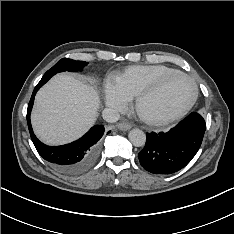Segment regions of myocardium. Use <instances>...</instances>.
<instances>
[{"label": "myocardium", "instance_id": "obj_1", "mask_svg": "<svg viewBox=\"0 0 234 234\" xmlns=\"http://www.w3.org/2000/svg\"><path fill=\"white\" fill-rule=\"evenodd\" d=\"M176 76L184 77L191 82L193 86V95L190 101L183 108L173 113L158 114V115L147 114L143 110L145 101L148 98H150L152 95H154L169 79L176 77ZM197 98H198V87H197L195 80L184 72L175 71V72H171L162 76L151 86L143 90L136 97L135 109H136L137 115L143 122L149 125L159 126V125H164V124L179 120L180 118L185 116L192 109Z\"/></svg>", "mask_w": 234, "mask_h": 234}]
</instances>
